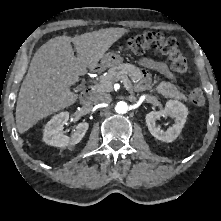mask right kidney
<instances>
[{
    "label": "right kidney",
    "instance_id": "obj_1",
    "mask_svg": "<svg viewBox=\"0 0 221 221\" xmlns=\"http://www.w3.org/2000/svg\"><path fill=\"white\" fill-rule=\"evenodd\" d=\"M68 120L69 112L67 111L53 116L45 125L43 141L55 147H67L79 143L88 130L89 125L87 122L79 123L74 129V133L68 137L63 133L64 125L67 124Z\"/></svg>",
    "mask_w": 221,
    "mask_h": 221
}]
</instances>
